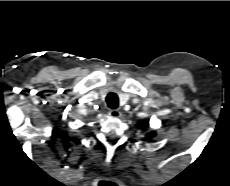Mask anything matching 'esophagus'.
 Listing matches in <instances>:
<instances>
[{"instance_id":"esophagus-1","label":"esophagus","mask_w":230,"mask_h":186,"mask_svg":"<svg viewBox=\"0 0 230 186\" xmlns=\"http://www.w3.org/2000/svg\"><path fill=\"white\" fill-rule=\"evenodd\" d=\"M109 115L114 118H119L121 116V112L117 109H111L109 111Z\"/></svg>"}]
</instances>
